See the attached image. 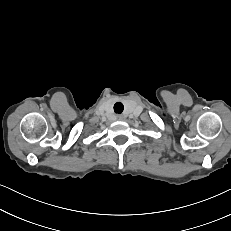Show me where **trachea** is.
<instances>
[{
	"mask_svg": "<svg viewBox=\"0 0 231 231\" xmlns=\"http://www.w3.org/2000/svg\"><path fill=\"white\" fill-rule=\"evenodd\" d=\"M124 106L121 102H117L114 105V111L115 113L121 114L123 112Z\"/></svg>",
	"mask_w": 231,
	"mask_h": 231,
	"instance_id": "trachea-1",
	"label": "trachea"
}]
</instances>
